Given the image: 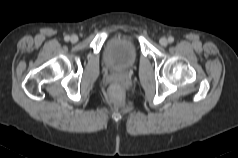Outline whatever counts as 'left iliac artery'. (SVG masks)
<instances>
[{"label": "left iliac artery", "instance_id": "left-iliac-artery-1", "mask_svg": "<svg viewBox=\"0 0 238 158\" xmlns=\"http://www.w3.org/2000/svg\"><path fill=\"white\" fill-rule=\"evenodd\" d=\"M168 41H169L170 43H173V42H174V38H173L172 36H170V37L168 38Z\"/></svg>", "mask_w": 238, "mask_h": 158}]
</instances>
